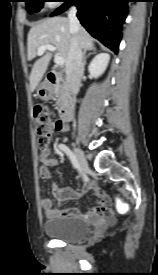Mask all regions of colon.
Segmentation results:
<instances>
[{"label":"colon","instance_id":"1","mask_svg":"<svg viewBox=\"0 0 158 275\" xmlns=\"http://www.w3.org/2000/svg\"><path fill=\"white\" fill-rule=\"evenodd\" d=\"M37 142L41 150L48 148L51 135L60 126V121L43 105H36L33 109ZM110 211L106 212L108 216Z\"/></svg>","mask_w":158,"mask_h":275}]
</instances>
